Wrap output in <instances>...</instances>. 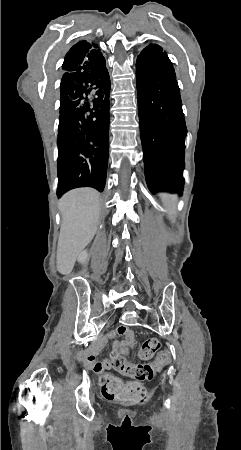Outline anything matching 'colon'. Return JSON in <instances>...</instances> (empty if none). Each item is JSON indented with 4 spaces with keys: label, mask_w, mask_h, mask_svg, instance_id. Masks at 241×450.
I'll use <instances>...</instances> for the list:
<instances>
[{
    "label": "colon",
    "mask_w": 241,
    "mask_h": 450,
    "mask_svg": "<svg viewBox=\"0 0 241 450\" xmlns=\"http://www.w3.org/2000/svg\"><path fill=\"white\" fill-rule=\"evenodd\" d=\"M161 343L156 338L146 339L137 351V356L142 360H149L158 353ZM169 353L162 351L159 359L147 364H129L119 355L114 354L110 358L111 366L125 375L137 381L152 380L159 372L163 363L168 362ZM99 386L102 397L111 402H121L125 404L145 405L149 398V391L140 383L135 381H122L107 373H103L99 379Z\"/></svg>",
    "instance_id": "5ec220e1"
}]
</instances>
